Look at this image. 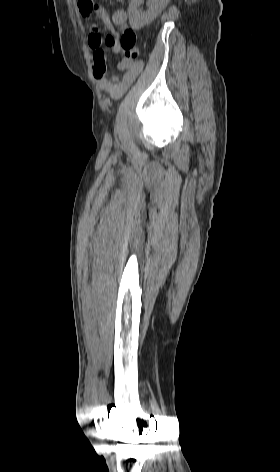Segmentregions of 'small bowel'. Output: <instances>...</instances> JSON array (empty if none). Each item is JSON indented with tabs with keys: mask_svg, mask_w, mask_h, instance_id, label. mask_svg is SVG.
Here are the masks:
<instances>
[{
	"mask_svg": "<svg viewBox=\"0 0 280 472\" xmlns=\"http://www.w3.org/2000/svg\"><path fill=\"white\" fill-rule=\"evenodd\" d=\"M89 0H79L78 7L80 14L83 17H89L94 13L98 20H100L109 30V34L103 37L98 28L93 27L89 37L88 44L93 52V75L97 80V87L108 93L112 100L120 99L132 83L136 80L143 70V62L141 60H132L123 58L118 63V70L120 75H113L108 77L106 75V49H110L113 53H119L121 48L119 44V34L116 27L127 29V12L119 8L115 9L109 15L104 8L94 5L92 9L87 7Z\"/></svg>",
	"mask_w": 280,
	"mask_h": 472,
	"instance_id": "obj_1",
	"label": "small bowel"
}]
</instances>
